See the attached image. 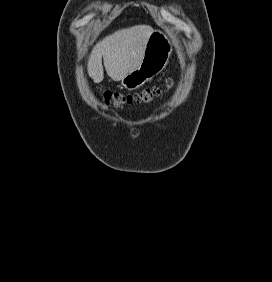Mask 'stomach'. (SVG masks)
Instances as JSON below:
<instances>
[{
	"mask_svg": "<svg viewBox=\"0 0 272 282\" xmlns=\"http://www.w3.org/2000/svg\"><path fill=\"white\" fill-rule=\"evenodd\" d=\"M172 50L170 39L161 31L152 30L140 65L121 80V85L127 90H135L152 80L165 69Z\"/></svg>",
	"mask_w": 272,
	"mask_h": 282,
	"instance_id": "1",
	"label": "stomach"
}]
</instances>
